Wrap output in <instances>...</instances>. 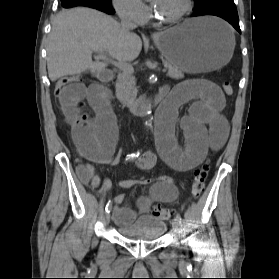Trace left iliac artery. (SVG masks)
Instances as JSON below:
<instances>
[{"label": "left iliac artery", "instance_id": "left-iliac-artery-1", "mask_svg": "<svg viewBox=\"0 0 279 279\" xmlns=\"http://www.w3.org/2000/svg\"><path fill=\"white\" fill-rule=\"evenodd\" d=\"M176 220L179 222V224L182 223V218L179 214L176 215Z\"/></svg>", "mask_w": 279, "mask_h": 279}]
</instances>
